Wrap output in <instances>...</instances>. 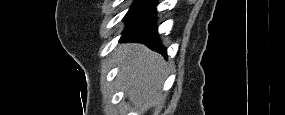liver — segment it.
<instances>
[{
    "label": "liver",
    "mask_w": 285,
    "mask_h": 115,
    "mask_svg": "<svg viewBox=\"0 0 285 115\" xmlns=\"http://www.w3.org/2000/svg\"><path fill=\"white\" fill-rule=\"evenodd\" d=\"M120 65L119 78L131 102L139 107L151 106L166 75L167 63L161 55L142 44H122L114 52Z\"/></svg>",
    "instance_id": "6515ba94"
}]
</instances>
